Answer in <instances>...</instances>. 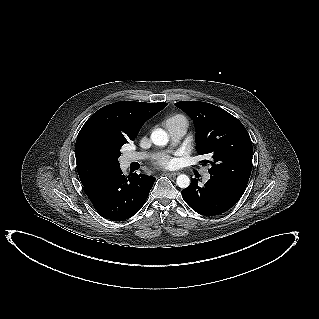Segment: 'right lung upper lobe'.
Wrapping results in <instances>:
<instances>
[{
    "label": "right lung upper lobe",
    "instance_id": "obj_1",
    "mask_svg": "<svg viewBox=\"0 0 319 319\" xmlns=\"http://www.w3.org/2000/svg\"><path fill=\"white\" fill-rule=\"evenodd\" d=\"M167 103L116 102L95 112L81 128L75 146L83 186L119 168L115 154L133 141L142 125Z\"/></svg>",
    "mask_w": 319,
    "mask_h": 319
}]
</instances>
